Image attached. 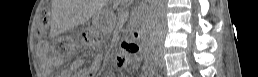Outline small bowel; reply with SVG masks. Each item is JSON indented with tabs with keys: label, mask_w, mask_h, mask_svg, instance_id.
I'll use <instances>...</instances> for the list:
<instances>
[{
	"label": "small bowel",
	"mask_w": 258,
	"mask_h": 77,
	"mask_svg": "<svg viewBox=\"0 0 258 77\" xmlns=\"http://www.w3.org/2000/svg\"><path fill=\"white\" fill-rule=\"evenodd\" d=\"M38 50L44 56L45 62L49 67L58 66L61 64V59L47 56L48 47L45 42H41L39 44Z\"/></svg>",
	"instance_id": "small-bowel-1"
}]
</instances>
